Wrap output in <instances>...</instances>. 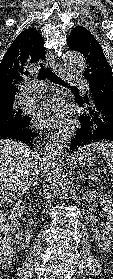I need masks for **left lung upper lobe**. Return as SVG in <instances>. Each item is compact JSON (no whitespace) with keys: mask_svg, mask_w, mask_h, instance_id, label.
I'll return each instance as SVG.
<instances>
[{"mask_svg":"<svg viewBox=\"0 0 113 279\" xmlns=\"http://www.w3.org/2000/svg\"><path fill=\"white\" fill-rule=\"evenodd\" d=\"M67 43L71 50L82 53L86 59L88 68L85 70L84 76L89 82L91 93L97 91L101 95L113 99L112 69L105 58L102 47L93 35L83 26H78L70 33Z\"/></svg>","mask_w":113,"mask_h":279,"instance_id":"1","label":"left lung upper lobe"}]
</instances>
